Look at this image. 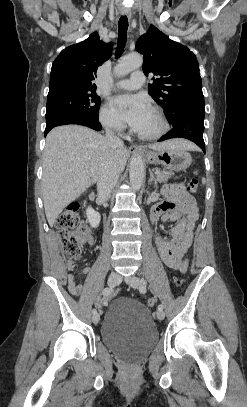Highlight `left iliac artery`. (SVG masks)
Wrapping results in <instances>:
<instances>
[{
  "mask_svg": "<svg viewBox=\"0 0 247 407\" xmlns=\"http://www.w3.org/2000/svg\"><path fill=\"white\" fill-rule=\"evenodd\" d=\"M140 293H146V281L144 278L141 279L140 286H139ZM158 310H163V305H158Z\"/></svg>",
  "mask_w": 247,
  "mask_h": 407,
  "instance_id": "1",
  "label": "left iliac artery"
}]
</instances>
